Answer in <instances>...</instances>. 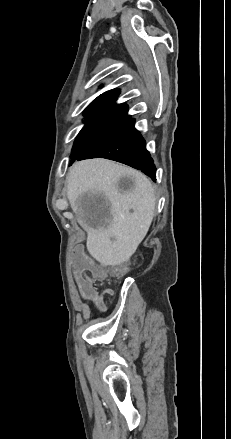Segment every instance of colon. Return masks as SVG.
I'll use <instances>...</instances> for the list:
<instances>
[{
  "mask_svg": "<svg viewBox=\"0 0 231 439\" xmlns=\"http://www.w3.org/2000/svg\"><path fill=\"white\" fill-rule=\"evenodd\" d=\"M74 274L77 278L76 286L80 288V294L90 300L91 305L99 307L102 305V298L97 297L94 290V282L105 277L106 272L94 264L92 259L86 258L87 251L82 245L76 246L73 251ZM126 270V266H118L109 270L110 276H120Z\"/></svg>",
  "mask_w": 231,
  "mask_h": 439,
  "instance_id": "5ec220e1",
  "label": "colon"
}]
</instances>
